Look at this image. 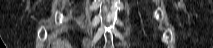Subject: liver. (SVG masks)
<instances>
[{
  "instance_id": "6515ba94",
  "label": "liver",
  "mask_w": 213,
  "mask_h": 48,
  "mask_svg": "<svg viewBox=\"0 0 213 48\" xmlns=\"http://www.w3.org/2000/svg\"><path fill=\"white\" fill-rule=\"evenodd\" d=\"M52 48H72V47H71V44H69L67 40L57 39L54 42V45Z\"/></svg>"
}]
</instances>
